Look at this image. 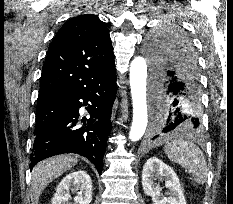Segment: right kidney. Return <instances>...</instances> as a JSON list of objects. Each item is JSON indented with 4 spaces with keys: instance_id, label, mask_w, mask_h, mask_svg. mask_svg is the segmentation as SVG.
Segmentation results:
<instances>
[{
    "instance_id": "1",
    "label": "right kidney",
    "mask_w": 233,
    "mask_h": 204,
    "mask_svg": "<svg viewBox=\"0 0 233 204\" xmlns=\"http://www.w3.org/2000/svg\"><path fill=\"white\" fill-rule=\"evenodd\" d=\"M71 193H77L71 200ZM92 201V181L86 171L78 170L66 175L56 188L52 204H90Z\"/></svg>"
}]
</instances>
